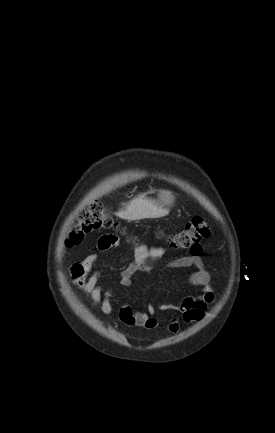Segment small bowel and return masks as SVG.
<instances>
[{
	"mask_svg": "<svg viewBox=\"0 0 275 433\" xmlns=\"http://www.w3.org/2000/svg\"><path fill=\"white\" fill-rule=\"evenodd\" d=\"M119 244L118 237L112 234L102 236L97 242L98 251H106ZM202 246L197 245L192 253L177 257L169 263L173 268H191L193 272L188 277L189 285L200 287L201 292L194 296H188L176 306L161 305L162 310H177L182 314L186 323L201 320L205 315L206 307L215 299L213 288L210 285V273L201 258ZM165 254V249L158 246H148L144 243H136L133 250V261L128 264L120 275V284L124 287L131 285L132 276L139 271H148L153 262ZM98 259V253L88 255L84 260L75 262L71 267L72 282L82 289L91 303L104 315L111 316L113 306L111 303L112 292L104 290L98 281L102 270H93ZM158 310L149 306L147 312L134 311L129 306L123 305L119 309V319L128 327H142L148 330L158 326ZM168 330L176 334L180 330L177 318H172L168 324Z\"/></svg>",
	"mask_w": 275,
	"mask_h": 433,
	"instance_id": "obj_1",
	"label": "small bowel"
}]
</instances>
